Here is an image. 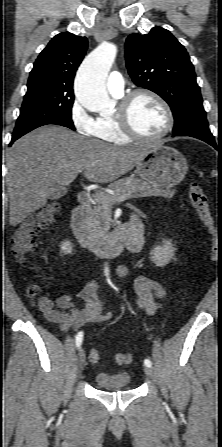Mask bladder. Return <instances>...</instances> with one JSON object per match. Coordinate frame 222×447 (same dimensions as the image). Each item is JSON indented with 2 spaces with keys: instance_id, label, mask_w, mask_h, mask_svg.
I'll list each match as a JSON object with an SVG mask.
<instances>
[{
  "instance_id": "obj_1",
  "label": "bladder",
  "mask_w": 222,
  "mask_h": 447,
  "mask_svg": "<svg viewBox=\"0 0 222 447\" xmlns=\"http://www.w3.org/2000/svg\"><path fill=\"white\" fill-rule=\"evenodd\" d=\"M130 380L131 377L127 371H101L94 377L95 384L106 391L129 389Z\"/></svg>"
}]
</instances>
